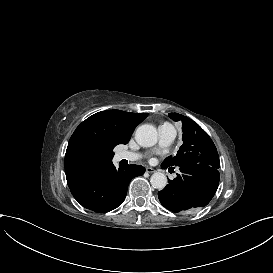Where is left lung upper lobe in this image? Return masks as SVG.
<instances>
[{"label": "left lung upper lobe", "mask_w": 273, "mask_h": 273, "mask_svg": "<svg viewBox=\"0 0 273 273\" xmlns=\"http://www.w3.org/2000/svg\"><path fill=\"white\" fill-rule=\"evenodd\" d=\"M174 121L182 122L183 144L176 156L167 157L165 166H184L191 164H206L213 168H220L217 149L209 135L192 119L178 113H169Z\"/></svg>", "instance_id": "obj_1"}]
</instances>
